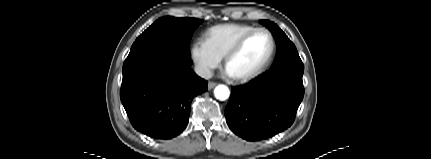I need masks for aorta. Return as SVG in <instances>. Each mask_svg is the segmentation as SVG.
<instances>
[{
  "instance_id": "obj_1",
  "label": "aorta",
  "mask_w": 431,
  "mask_h": 159,
  "mask_svg": "<svg viewBox=\"0 0 431 159\" xmlns=\"http://www.w3.org/2000/svg\"><path fill=\"white\" fill-rule=\"evenodd\" d=\"M214 95L217 99L224 101L230 96L229 88L225 85H218L214 90Z\"/></svg>"
}]
</instances>
